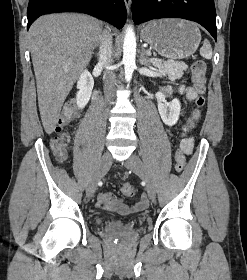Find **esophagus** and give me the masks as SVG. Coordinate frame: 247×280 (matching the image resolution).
<instances>
[{
  "label": "esophagus",
  "instance_id": "34e87169",
  "mask_svg": "<svg viewBox=\"0 0 247 280\" xmlns=\"http://www.w3.org/2000/svg\"><path fill=\"white\" fill-rule=\"evenodd\" d=\"M127 11L129 12L131 6V0H124Z\"/></svg>",
  "mask_w": 247,
  "mask_h": 280
}]
</instances>
